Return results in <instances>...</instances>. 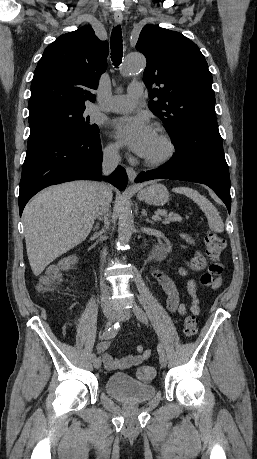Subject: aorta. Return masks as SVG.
<instances>
[{"label": "aorta", "instance_id": "762f6f07", "mask_svg": "<svg viewBox=\"0 0 257 459\" xmlns=\"http://www.w3.org/2000/svg\"><path fill=\"white\" fill-rule=\"evenodd\" d=\"M146 66V59L143 55L132 53L125 57L122 67V75L130 76L144 69ZM134 230V219L131 209L123 204L119 210L118 221V240L121 243H126L130 240Z\"/></svg>", "mask_w": 257, "mask_h": 459}]
</instances>
